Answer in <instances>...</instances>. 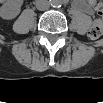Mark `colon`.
<instances>
[{
  "instance_id": "1",
  "label": "colon",
  "mask_w": 103,
  "mask_h": 103,
  "mask_svg": "<svg viewBox=\"0 0 103 103\" xmlns=\"http://www.w3.org/2000/svg\"><path fill=\"white\" fill-rule=\"evenodd\" d=\"M92 5L95 8V10L97 11V13L99 15H102L103 3L100 1H94V2H92ZM102 33H103V21H102V18L99 17L96 20H94V22L89 30L88 36L90 39L95 40V39L100 38Z\"/></svg>"
}]
</instances>
